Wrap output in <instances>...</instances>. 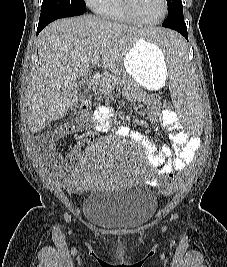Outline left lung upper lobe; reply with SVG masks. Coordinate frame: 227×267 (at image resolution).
I'll return each instance as SVG.
<instances>
[{"label":"left lung upper lobe","instance_id":"1","mask_svg":"<svg viewBox=\"0 0 227 267\" xmlns=\"http://www.w3.org/2000/svg\"><path fill=\"white\" fill-rule=\"evenodd\" d=\"M168 14L183 9L181 0H167Z\"/></svg>","mask_w":227,"mask_h":267}]
</instances>
